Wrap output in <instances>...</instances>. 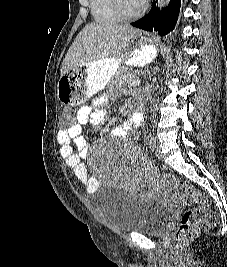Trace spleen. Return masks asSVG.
I'll use <instances>...</instances> for the list:
<instances>
[{"label":"spleen","mask_w":227,"mask_h":267,"mask_svg":"<svg viewBox=\"0 0 227 267\" xmlns=\"http://www.w3.org/2000/svg\"><path fill=\"white\" fill-rule=\"evenodd\" d=\"M135 37H136V43H149L150 47L156 46L157 38H148L149 37L148 33L143 34L144 38H141L142 37L141 33H136Z\"/></svg>","instance_id":"1"}]
</instances>
